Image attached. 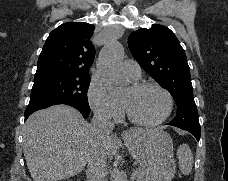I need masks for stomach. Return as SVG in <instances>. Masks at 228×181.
<instances>
[{
	"mask_svg": "<svg viewBox=\"0 0 228 181\" xmlns=\"http://www.w3.org/2000/svg\"><path fill=\"white\" fill-rule=\"evenodd\" d=\"M123 141L133 159L144 169L142 181H172L176 173L173 141L165 131H129Z\"/></svg>",
	"mask_w": 228,
	"mask_h": 181,
	"instance_id": "stomach-1",
	"label": "stomach"
}]
</instances>
